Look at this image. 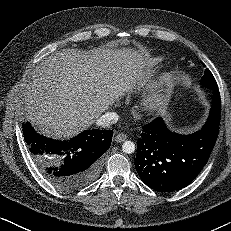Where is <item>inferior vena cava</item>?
I'll return each instance as SVG.
<instances>
[{"label": "inferior vena cava", "mask_w": 231, "mask_h": 231, "mask_svg": "<svg viewBox=\"0 0 231 231\" xmlns=\"http://www.w3.org/2000/svg\"><path fill=\"white\" fill-rule=\"evenodd\" d=\"M118 121L116 112H107L97 119V125L101 127H109Z\"/></svg>", "instance_id": "inferior-vena-cava-1"}]
</instances>
